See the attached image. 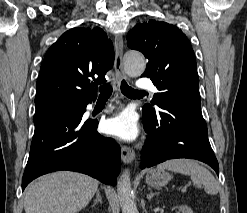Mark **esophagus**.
I'll list each match as a JSON object with an SVG mask.
<instances>
[{"mask_svg": "<svg viewBox=\"0 0 247 213\" xmlns=\"http://www.w3.org/2000/svg\"><path fill=\"white\" fill-rule=\"evenodd\" d=\"M114 48H115V72H116V77H117V84L119 85L120 82L123 79H126L127 76L124 72L123 69V63H122V58H123V39L121 35H116L115 36V41H114ZM135 157V152L133 149L127 146H122L121 148V158L123 163L125 164H130Z\"/></svg>", "mask_w": 247, "mask_h": 213, "instance_id": "obj_1", "label": "esophagus"}]
</instances>
